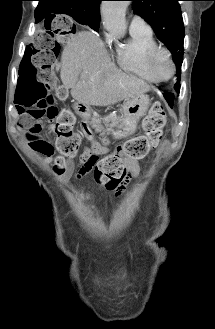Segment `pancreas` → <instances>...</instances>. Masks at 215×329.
I'll use <instances>...</instances> for the list:
<instances>
[{
  "label": "pancreas",
  "instance_id": "pancreas-1",
  "mask_svg": "<svg viewBox=\"0 0 215 329\" xmlns=\"http://www.w3.org/2000/svg\"><path fill=\"white\" fill-rule=\"evenodd\" d=\"M121 122V117L117 115H110L106 118L92 117L89 124L98 132H111Z\"/></svg>",
  "mask_w": 215,
  "mask_h": 329
}]
</instances>
